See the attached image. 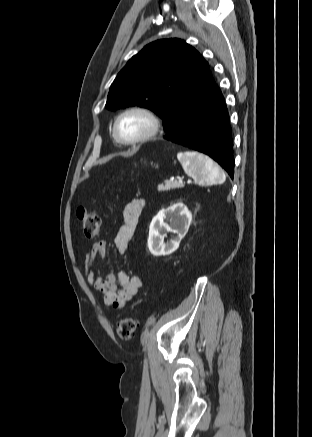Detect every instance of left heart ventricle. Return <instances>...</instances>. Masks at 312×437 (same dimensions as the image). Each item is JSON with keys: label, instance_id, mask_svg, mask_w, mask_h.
Segmentation results:
<instances>
[{"label": "left heart ventricle", "instance_id": "1", "mask_svg": "<svg viewBox=\"0 0 312 437\" xmlns=\"http://www.w3.org/2000/svg\"><path fill=\"white\" fill-rule=\"evenodd\" d=\"M150 127L151 122L145 115L131 113L122 118L119 131L125 139L132 140L146 134Z\"/></svg>", "mask_w": 312, "mask_h": 437}]
</instances>
